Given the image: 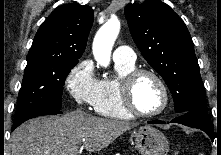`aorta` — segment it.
<instances>
[{"label": "aorta", "mask_w": 221, "mask_h": 155, "mask_svg": "<svg viewBox=\"0 0 221 155\" xmlns=\"http://www.w3.org/2000/svg\"><path fill=\"white\" fill-rule=\"evenodd\" d=\"M120 31V22L112 18L97 32L93 41V55L98 64L107 67L110 63L111 51Z\"/></svg>", "instance_id": "obj_1"}]
</instances>
